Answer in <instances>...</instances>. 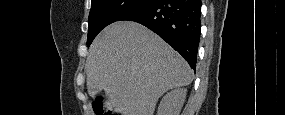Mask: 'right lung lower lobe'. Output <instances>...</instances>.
Segmentation results:
<instances>
[{
    "label": "right lung lower lobe",
    "mask_w": 285,
    "mask_h": 115,
    "mask_svg": "<svg viewBox=\"0 0 285 115\" xmlns=\"http://www.w3.org/2000/svg\"><path fill=\"white\" fill-rule=\"evenodd\" d=\"M201 5V0H150L119 20L138 22L157 33L195 69Z\"/></svg>",
    "instance_id": "obj_1"
}]
</instances>
